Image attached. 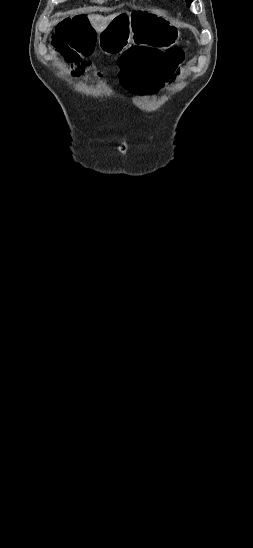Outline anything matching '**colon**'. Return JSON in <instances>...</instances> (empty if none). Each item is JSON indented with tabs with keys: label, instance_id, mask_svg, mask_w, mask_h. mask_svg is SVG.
<instances>
[{
	"label": "colon",
	"instance_id": "1",
	"mask_svg": "<svg viewBox=\"0 0 253 548\" xmlns=\"http://www.w3.org/2000/svg\"><path fill=\"white\" fill-rule=\"evenodd\" d=\"M95 44V34L89 21L80 15L63 19L56 29L53 45L58 53L71 64L75 75L101 76L95 66L82 59ZM184 54L178 48L147 49L130 48L119 60L122 69L120 87L134 96H162L163 86L181 74Z\"/></svg>",
	"mask_w": 253,
	"mask_h": 548
}]
</instances>
